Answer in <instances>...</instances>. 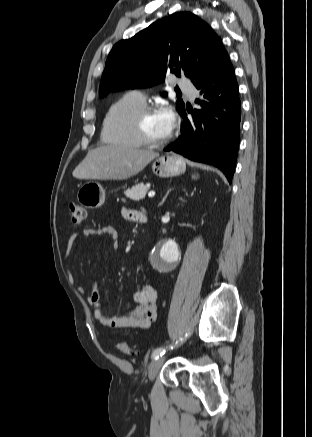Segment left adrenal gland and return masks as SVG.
<instances>
[{"instance_id": "1", "label": "left adrenal gland", "mask_w": 312, "mask_h": 437, "mask_svg": "<svg viewBox=\"0 0 312 437\" xmlns=\"http://www.w3.org/2000/svg\"><path fill=\"white\" fill-rule=\"evenodd\" d=\"M171 190H168L167 193L165 194V196L163 197L161 203L159 204V206L163 205V203L165 202L166 198L168 197L169 193Z\"/></svg>"}]
</instances>
